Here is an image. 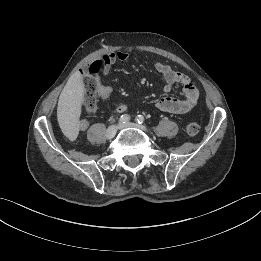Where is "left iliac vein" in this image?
<instances>
[{
    "mask_svg": "<svg viewBox=\"0 0 261 261\" xmlns=\"http://www.w3.org/2000/svg\"><path fill=\"white\" fill-rule=\"evenodd\" d=\"M125 128H136L147 132V128L145 126L132 122H127L119 125V129H125Z\"/></svg>",
    "mask_w": 261,
    "mask_h": 261,
    "instance_id": "1",
    "label": "left iliac vein"
}]
</instances>
